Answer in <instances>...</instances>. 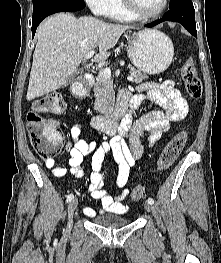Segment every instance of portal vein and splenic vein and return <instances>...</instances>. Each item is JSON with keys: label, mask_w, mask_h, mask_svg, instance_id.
Segmentation results:
<instances>
[{"label": "portal vein and splenic vein", "mask_w": 221, "mask_h": 263, "mask_svg": "<svg viewBox=\"0 0 221 263\" xmlns=\"http://www.w3.org/2000/svg\"><path fill=\"white\" fill-rule=\"evenodd\" d=\"M94 53H95L94 50L89 51V52L85 55V59L88 60V59L92 58L93 55H94ZM101 74H102V76H103L104 78H110V77H111V70H110L109 68H104V69L101 70ZM133 79H134V78H133L132 75H130V76L127 77V80H128V81H133Z\"/></svg>", "instance_id": "portal-vein-and-splenic-vein-1"}]
</instances>
